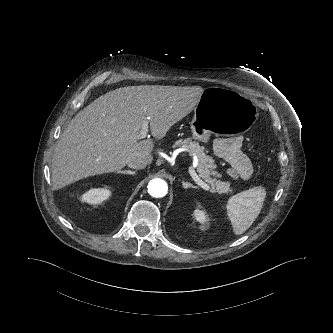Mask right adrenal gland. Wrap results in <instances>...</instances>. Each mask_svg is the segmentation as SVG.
I'll return each instance as SVG.
<instances>
[{"label":"right adrenal gland","mask_w":333,"mask_h":333,"mask_svg":"<svg viewBox=\"0 0 333 333\" xmlns=\"http://www.w3.org/2000/svg\"><path fill=\"white\" fill-rule=\"evenodd\" d=\"M118 174H128V175H134L136 174V171H131V170H122V171H118Z\"/></svg>","instance_id":"obj_1"}]
</instances>
